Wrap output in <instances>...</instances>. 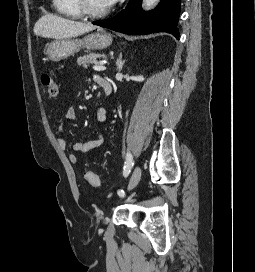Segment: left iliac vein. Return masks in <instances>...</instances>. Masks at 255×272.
<instances>
[{
	"mask_svg": "<svg viewBox=\"0 0 255 272\" xmlns=\"http://www.w3.org/2000/svg\"><path fill=\"white\" fill-rule=\"evenodd\" d=\"M140 178H141V169L139 166H137V167H135V169L131 175L129 185H128V190L133 189L140 181ZM120 197H122V196H120Z\"/></svg>",
	"mask_w": 255,
	"mask_h": 272,
	"instance_id": "obj_1",
	"label": "left iliac vein"
}]
</instances>
